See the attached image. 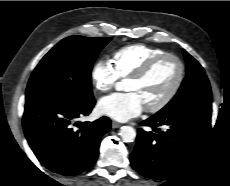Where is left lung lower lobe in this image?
I'll use <instances>...</instances> for the list:
<instances>
[{
	"mask_svg": "<svg viewBox=\"0 0 230 186\" xmlns=\"http://www.w3.org/2000/svg\"><path fill=\"white\" fill-rule=\"evenodd\" d=\"M211 111V104L190 105L143 121L152 131L138 130L130 156L132 167L148 178H171L204 145L211 128Z\"/></svg>",
	"mask_w": 230,
	"mask_h": 186,
	"instance_id": "left-lung-lower-lobe-1",
	"label": "left lung lower lobe"
}]
</instances>
